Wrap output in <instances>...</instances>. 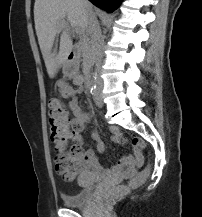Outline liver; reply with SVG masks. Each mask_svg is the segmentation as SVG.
<instances>
[{
  "mask_svg": "<svg viewBox=\"0 0 202 217\" xmlns=\"http://www.w3.org/2000/svg\"><path fill=\"white\" fill-rule=\"evenodd\" d=\"M65 18L82 32L87 31V13L80 0H35V30L50 78L56 75L72 51L70 32L62 27ZM62 30L59 53H52L56 34Z\"/></svg>",
  "mask_w": 202,
  "mask_h": 217,
  "instance_id": "6515ba94",
  "label": "liver"
}]
</instances>
